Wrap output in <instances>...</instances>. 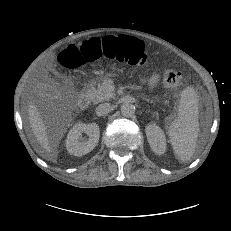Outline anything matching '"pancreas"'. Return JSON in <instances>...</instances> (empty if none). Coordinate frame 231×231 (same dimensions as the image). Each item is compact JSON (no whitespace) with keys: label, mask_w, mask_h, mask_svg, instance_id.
<instances>
[{"label":"pancreas","mask_w":231,"mask_h":231,"mask_svg":"<svg viewBox=\"0 0 231 231\" xmlns=\"http://www.w3.org/2000/svg\"><path fill=\"white\" fill-rule=\"evenodd\" d=\"M113 84L112 79H104L101 85H98L96 88H91L87 91L89 97L94 103L109 101L110 99H114L116 94L109 90V86ZM146 101H150L149 99L143 97ZM151 103L153 101H150Z\"/></svg>","instance_id":"obj_1"}]
</instances>
